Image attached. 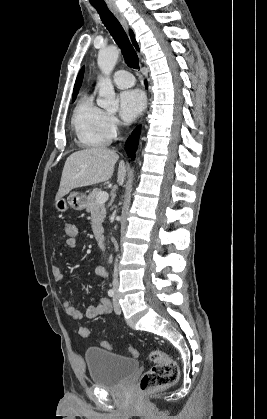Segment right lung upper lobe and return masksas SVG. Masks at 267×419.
<instances>
[{
    "mask_svg": "<svg viewBox=\"0 0 267 419\" xmlns=\"http://www.w3.org/2000/svg\"><path fill=\"white\" fill-rule=\"evenodd\" d=\"M130 36H131L132 42L135 45L136 49L139 50L138 45H137V43L135 41V38H134V34H133L132 31H130ZM83 73H84V67L80 70V72L77 76L75 86H74V90H73V96L78 94V91H79V88L81 86L82 79H83Z\"/></svg>",
    "mask_w": 267,
    "mask_h": 419,
    "instance_id": "cb5924a9",
    "label": "right lung upper lobe"
}]
</instances>
